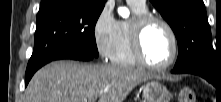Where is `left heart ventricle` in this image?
<instances>
[{
    "label": "left heart ventricle",
    "instance_id": "1",
    "mask_svg": "<svg viewBox=\"0 0 221 102\" xmlns=\"http://www.w3.org/2000/svg\"><path fill=\"white\" fill-rule=\"evenodd\" d=\"M143 44L145 55L153 64H165L172 56L173 43L171 36L161 24L155 23L147 28Z\"/></svg>",
    "mask_w": 221,
    "mask_h": 102
}]
</instances>
